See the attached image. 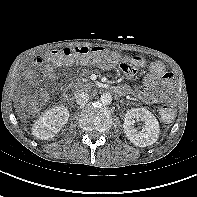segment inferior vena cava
<instances>
[{"label":"inferior vena cava","mask_w":197,"mask_h":197,"mask_svg":"<svg viewBox=\"0 0 197 197\" xmlns=\"http://www.w3.org/2000/svg\"><path fill=\"white\" fill-rule=\"evenodd\" d=\"M75 98H76V102L77 104L79 105H84L88 102L89 100V94L86 93V92H78L76 95H75Z\"/></svg>","instance_id":"obj_1"}]
</instances>
